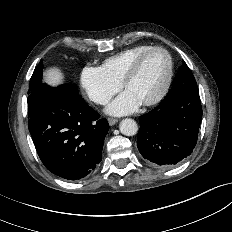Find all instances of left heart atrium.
Here are the masks:
<instances>
[{
  "label": "left heart atrium",
  "mask_w": 232,
  "mask_h": 232,
  "mask_svg": "<svg viewBox=\"0 0 232 232\" xmlns=\"http://www.w3.org/2000/svg\"><path fill=\"white\" fill-rule=\"evenodd\" d=\"M142 103L135 98L130 92L124 91L118 96L106 109L111 115H125L135 111Z\"/></svg>",
  "instance_id": "1"
}]
</instances>
